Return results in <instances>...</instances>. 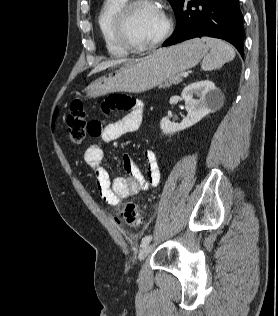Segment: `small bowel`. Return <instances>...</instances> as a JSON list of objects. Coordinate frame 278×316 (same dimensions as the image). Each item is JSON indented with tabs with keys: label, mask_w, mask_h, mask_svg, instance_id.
<instances>
[{
	"label": "small bowel",
	"mask_w": 278,
	"mask_h": 316,
	"mask_svg": "<svg viewBox=\"0 0 278 316\" xmlns=\"http://www.w3.org/2000/svg\"><path fill=\"white\" fill-rule=\"evenodd\" d=\"M109 108L122 109L127 114L120 120L105 126L99 121H93V124L100 128L98 134L93 136H99L103 141L109 142L139 129L144 110L142 102L125 96H113L104 104L105 110ZM103 157V150L97 144L88 146L83 155L85 164L96 177L97 189L101 198L109 205L118 206L123 199L154 188L160 181L157 157L151 149L144 151L146 175L142 173L131 155L124 154L123 168L126 175L112 179L103 166Z\"/></svg>",
	"instance_id": "1"
}]
</instances>
